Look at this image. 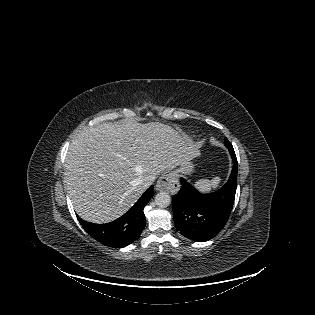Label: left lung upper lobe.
Listing matches in <instances>:
<instances>
[{
	"label": "left lung upper lobe",
	"mask_w": 315,
	"mask_h": 315,
	"mask_svg": "<svg viewBox=\"0 0 315 315\" xmlns=\"http://www.w3.org/2000/svg\"><path fill=\"white\" fill-rule=\"evenodd\" d=\"M224 143H225V146L228 148L230 154L232 155V154H233L232 152L234 151L233 146H232L231 143L228 141V139H227V140H224Z\"/></svg>",
	"instance_id": "5c2ea615"
}]
</instances>
